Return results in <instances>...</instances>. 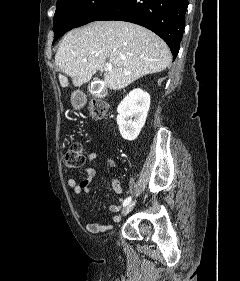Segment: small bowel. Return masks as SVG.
<instances>
[{
  "mask_svg": "<svg viewBox=\"0 0 240 281\" xmlns=\"http://www.w3.org/2000/svg\"><path fill=\"white\" fill-rule=\"evenodd\" d=\"M97 157H98V154L96 152H90L87 155V159L89 162L95 161L97 159ZM105 161H106L107 165L111 168L115 167V165H116L115 161L110 157H105ZM84 173H85V177L83 179H81L80 181H78L74 177H71L68 180V187L71 188L76 195H80L82 193H89L91 191V183H92L93 178L96 175V170L92 167H87L84 170ZM112 188H113L114 192L117 194L123 193V189L121 187L120 180L117 177H115L112 180ZM120 208H121L120 204L109 205V210L113 213L118 212L120 210ZM113 220L117 222L120 220V217L114 216ZM111 228H112V226L109 224H107V225L99 224V223L86 224V230L93 234L105 232Z\"/></svg>",
  "mask_w": 240,
  "mask_h": 281,
  "instance_id": "c3829d8e",
  "label": "small bowel"
}]
</instances>
